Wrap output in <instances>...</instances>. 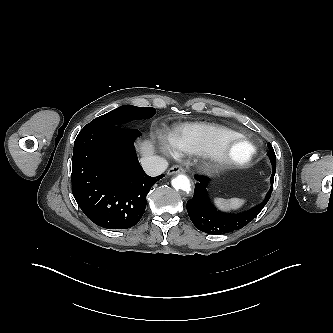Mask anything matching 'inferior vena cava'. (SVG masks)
Masks as SVG:
<instances>
[{
    "label": "inferior vena cava",
    "instance_id": "602c4592",
    "mask_svg": "<svg viewBox=\"0 0 333 333\" xmlns=\"http://www.w3.org/2000/svg\"><path fill=\"white\" fill-rule=\"evenodd\" d=\"M144 171L150 176H158L168 168V162L160 156H147L140 160Z\"/></svg>",
    "mask_w": 333,
    "mask_h": 333
}]
</instances>
